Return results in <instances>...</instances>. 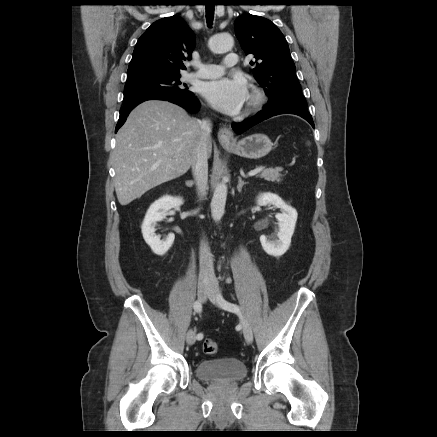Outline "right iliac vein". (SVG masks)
<instances>
[{
    "mask_svg": "<svg viewBox=\"0 0 437 437\" xmlns=\"http://www.w3.org/2000/svg\"><path fill=\"white\" fill-rule=\"evenodd\" d=\"M211 288L206 284H200L198 286V298L200 301L204 302L209 296ZM196 341L195 331L189 330L186 335V342L188 345H193Z\"/></svg>",
    "mask_w": 437,
    "mask_h": 437,
    "instance_id": "right-iliac-vein-1",
    "label": "right iliac vein"
}]
</instances>
